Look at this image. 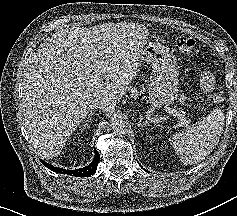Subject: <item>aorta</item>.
<instances>
[{"instance_id":"1","label":"aorta","mask_w":237,"mask_h":216,"mask_svg":"<svg viewBox=\"0 0 237 216\" xmlns=\"http://www.w3.org/2000/svg\"><path fill=\"white\" fill-rule=\"evenodd\" d=\"M112 132L116 136H123L127 133L128 126L122 118H115L112 125Z\"/></svg>"}]
</instances>
